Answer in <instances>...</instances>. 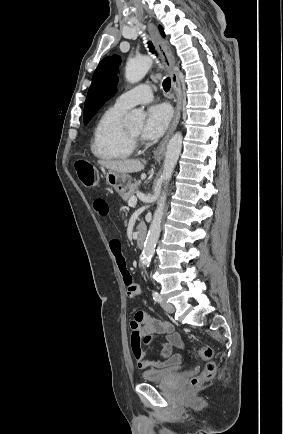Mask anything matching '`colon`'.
Instances as JSON below:
<instances>
[{"label":"colon","instance_id":"colon-1","mask_svg":"<svg viewBox=\"0 0 283 434\" xmlns=\"http://www.w3.org/2000/svg\"><path fill=\"white\" fill-rule=\"evenodd\" d=\"M76 172L81 183L87 188H94L98 184V173L95 167L88 162H77L75 164ZM197 356L203 361H209L202 373L191 379L192 385H197L203 381L212 379L216 374V364L210 360L213 357V350L209 346L201 347L197 351Z\"/></svg>","mask_w":283,"mask_h":434}]
</instances>
